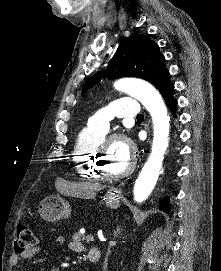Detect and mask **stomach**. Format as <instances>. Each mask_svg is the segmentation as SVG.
<instances>
[{"label": "stomach", "mask_w": 221, "mask_h": 271, "mask_svg": "<svg viewBox=\"0 0 221 271\" xmlns=\"http://www.w3.org/2000/svg\"><path fill=\"white\" fill-rule=\"evenodd\" d=\"M106 205L117 209L121 205V195L118 193V189H110L106 193ZM71 207L68 201H64L63 197H44V201L39 209V213L43 219L47 221H56L61 217L69 215Z\"/></svg>", "instance_id": "1"}]
</instances>
